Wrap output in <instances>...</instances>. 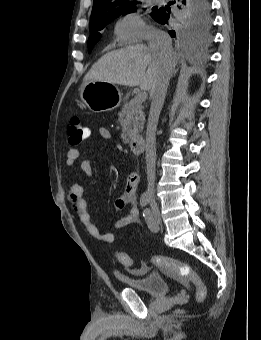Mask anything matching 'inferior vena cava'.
<instances>
[{
	"instance_id": "inferior-vena-cava-1",
	"label": "inferior vena cava",
	"mask_w": 261,
	"mask_h": 340,
	"mask_svg": "<svg viewBox=\"0 0 261 340\" xmlns=\"http://www.w3.org/2000/svg\"><path fill=\"white\" fill-rule=\"evenodd\" d=\"M149 49L159 58H168L173 54L170 36L161 30L152 29L148 35ZM171 70L164 71L154 88L151 90V108L146 131V166H147V195L150 199L155 195V162H156V129L160 112L163 107Z\"/></svg>"
}]
</instances>
